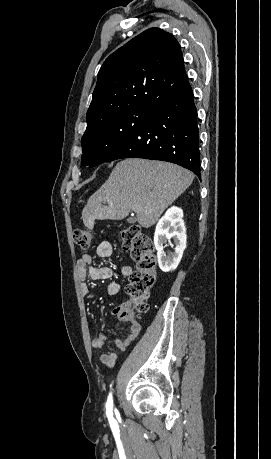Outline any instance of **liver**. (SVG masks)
<instances>
[{"mask_svg": "<svg viewBox=\"0 0 271 459\" xmlns=\"http://www.w3.org/2000/svg\"><path fill=\"white\" fill-rule=\"evenodd\" d=\"M193 180L192 172L175 164L127 158L89 198L82 212L83 224L93 229L95 220H123L133 210L140 226L151 228Z\"/></svg>", "mask_w": 271, "mask_h": 459, "instance_id": "1", "label": "liver"}]
</instances>
